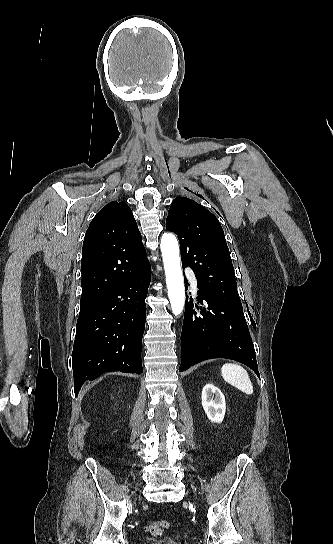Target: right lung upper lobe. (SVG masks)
Wrapping results in <instances>:
<instances>
[{
	"label": "right lung upper lobe",
	"instance_id": "right-lung-upper-lobe-1",
	"mask_svg": "<svg viewBox=\"0 0 333 544\" xmlns=\"http://www.w3.org/2000/svg\"><path fill=\"white\" fill-rule=\"evenodd\" d=\"M149 264L131 209L112 201L91 221L82 249V295L89 303Z\"/></svg>",
	"mask_w": 333,
	"mask_h": 544
}]
</instances>
